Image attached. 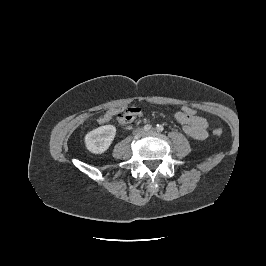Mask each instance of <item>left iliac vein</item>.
<instances>
[{"instance_id":"obj_1","label":"left iliac vein","mask_w":266,"mask_h":266,"mask_svg":"<svg viewBox=\"0 0 266 266\" xmlns=\"http://www.w3.org/2000/svg\"><path fill=\"white\" fill-rule=\"evenodd\" d=\"M148 133H154L155 129H151L150 131H147Z\"/></svg>"}]
</instances>
